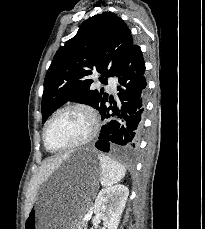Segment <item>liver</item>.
I'll list each match as a JSON object with an SVG mask.
<instances>
[{"mask_svg": "<svg viewBox=\"0 0 205 229\" xmlns=\"http://www.w3.org/2000/svg\"><path fill=\"white\" fill-rule=\"evenodd\" d=\"M68 156L69 154H64L62 156L48 158L43 162L40 171L32 178L31 181L32 191L27 198L25 217H27L29 211L33 206V201L35 199V191L38 188V186L43 181H45L63 163V161L68 158Z\"/></svg>", "mask_w": 205, "mask_h": 229, "instance_id": "obj_1", "label": "liver"}]
</instances>
